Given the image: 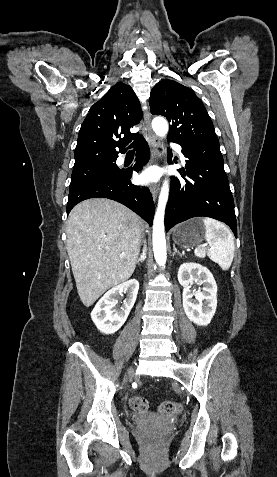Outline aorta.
Listing matches in <instances>:
<instances>
[{
    "mask_svg": "<svg viewBox=\"0 0 277 477\" xmlns=\"http://www.w3.org/2000/svg\"><path fill=\"white\" fill-rule=\"evenodd\" d=\"M152 128L156 135L165 137L168 133V123L162 117H156L152 121ZM169 196V183L164 181L158 199V206L153 221V251L158 265L163 266L166 263V239L164 228L165 207Z\"/></svg>",
    "mask_w": 277,
    "mask_h": 477,
    "instance_id": "1",
    "label": "aorta"
}]
</instances>
